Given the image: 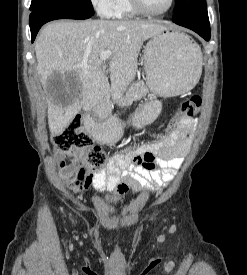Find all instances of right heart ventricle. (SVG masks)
<instances>
[{"instance_id":"1","label":"right heart ventricle","mask_w":247,"mask_h":275,"mask_svg":"<svg viewBox=\"0 0 247 275\" xmlns=\"http://www.w3.org/2000/svg\"><path fill=\"white\" fill-rule=\"evenodd\" d=\"M139 15L140 13L133 7L130 0H115L110 17L127 19Z\"/></svg>"}]
</instances>
